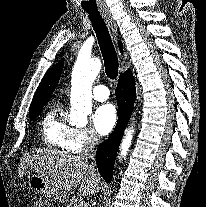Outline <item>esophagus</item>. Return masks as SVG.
I'll return each mask as SVG.
<instances>
[{
    "label": "esophagus",
    "instance_id": "34e87169",
    "mask_svg": "<svg viewBox=\"0 0 206 207\" xmlns=\"http://www.w3.org/2000/svg\"><path fill=\"white\" fill-rule=\"evenodd\" d=\"M101 15L104 18L107 26L110 28L114 40H117L118 28L109 10H102Z\"/></svg>",
    "mask_w": 206,
    "mask_h": 207
}]
</instances>
